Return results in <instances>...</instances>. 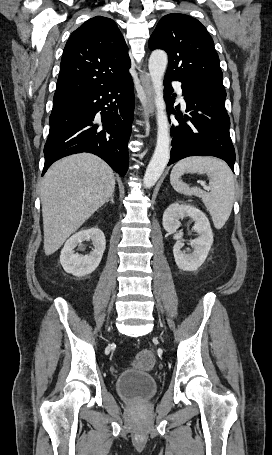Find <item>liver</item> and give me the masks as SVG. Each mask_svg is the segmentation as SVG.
I'll return each instance as SVG.
<instances>
[{
  "label": "liver",
  "mask_w": 272,
  "mask_h": 455,
  "mask_svg": "<svg viewBox=\"0 0 272 455\" xmlns=\"http://www.w3.org/2000/svg\"><path fill=\"white\" fill-rule=\"evenodd\" d=\"M112 169L99 157L80 153L54 163L41 184L44 252H56L113 194Z\"/></svg>",
  "instance_id": "1"
}]
</instances>
